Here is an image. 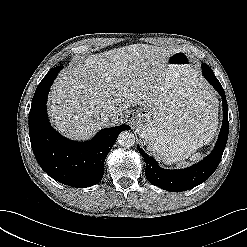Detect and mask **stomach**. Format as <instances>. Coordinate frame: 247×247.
Instances as JSON below:
<instances>
[{"label": "stomach", "instance_id": "0dacf381", "mask_svg": "<svg viewBox=\"0 0 247 247\" xmlns=\"http://www.w3.org/2000/svg\"><path fill=\"white\" fill-rule=\"evenodd\" d=\"M166 65L172 70L168 85L150 108L138 112L136 129L149 150L172 163L189 157L212 138L218 107L189 55L175 52Z\"/></svg>", "mask_w": 247, "mask_h": 247}]
</instances>
